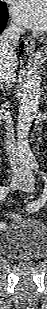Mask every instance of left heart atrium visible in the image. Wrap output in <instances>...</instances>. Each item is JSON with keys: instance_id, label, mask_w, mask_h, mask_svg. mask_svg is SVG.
<instances>
[{"instance_id": "39dd6f15", "label": "left heart atrium", "mask_w": 47, "mask_h": 309, "mask_svg": "<svg viewBox=\"0 0 47 309\" xmlns=\"http://www.w3.org/2000/svg\"><path fill=\"white\" fill-rule=\"evenodd\" d=\"M47 0H14L11 12L21 25L45 30L47 26Z\"/></svg>"}]
</instances>
